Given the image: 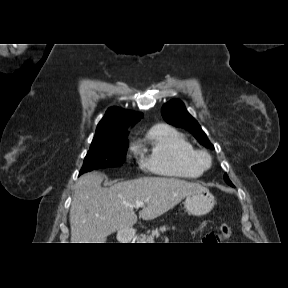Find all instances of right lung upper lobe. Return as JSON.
<instances>
[{
    "label": "right lung upper lobe",
    "instance_id": "cb5924a9",
    "mask_svg": "<svg viewBox=\"0 0 288 288\" xmlns=\"http://www.w3.org/2000/svg\"><path fill=\"white\" fill-rule=\"evenodd\" d=\"M142 116V113L127 111L118 107L109 108L99 122L93 140L128 134V127L136 124Z\"/></svg>",
    "mask_w": 288,
    "mask_h": 288
}]
</instances>
